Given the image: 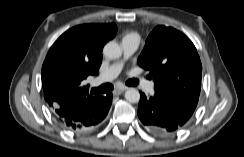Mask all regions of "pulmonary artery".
<instances>
[{
    "instance_id": "1",
    "label": "pulmonary artery",
    "mask_w": 244,
    "mask_h": 157,
    "mask_svg": "<svg viewBox=\"0 0 244 157\" xmlns=\"http://www.w3.org/2000/svg\"><path fill=\"white\" fill-rule=\"evenodd\" d=\"M123 49V59L111 64L109 67L104 69L96 80V83H105L115 79L123 68L124 60L128 59L138 48L139 38L136 37H124L121 41ZM154 84L151 81H144L142 88L146 92L153 91Z\"/></svg>"
}]
</instances>
